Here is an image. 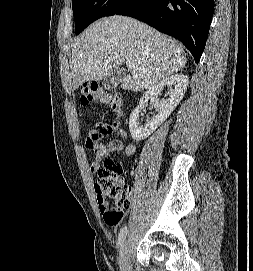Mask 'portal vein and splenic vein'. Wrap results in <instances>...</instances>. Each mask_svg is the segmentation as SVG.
<instances>
[{
	"mask_svg": "<svg viewBox=\"0 0 253 271\" xmlns=\"http://www.w3.org/2000/svg\"><path fill=\"white\" fill-rule=\"evenodd\" d=\"M126 65L129 69L134 68L135 64L132 61H126Z\"/></svg>",
	"mask_w": 253,
	"mask_h": 271,
	"instance_id": "portal-vein-and-splenic-vein-1",
	"label": "portal vein and splenic vein"
}]
</instances>
